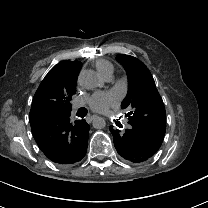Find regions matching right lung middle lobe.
<instances>
[{"mask_svg": "<svg viewBox=\"0 0 208 208\" xmlns=\"http://www.w3.org/2000/svg\"><path fill=\"white\" fill-rule=\"evenodd\" d=\"M67 107H69V111L71 110V104L70 102L68 101V104H67ZM70 113H68L67 115H69Z\"/></svg>", "mask_w": 208, "mask_h": 208, "instance_id": "dd1d6c3e", "label": "right lung middle lobe"}]
</instances>
